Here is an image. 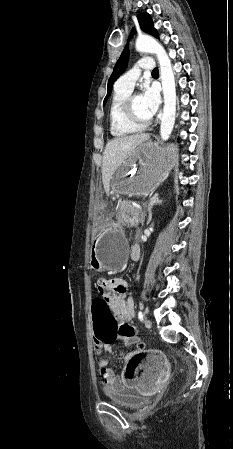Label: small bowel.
Returning <instances> with one entry per match:
<instances>
[{
  "mask_svg": "<svg viewBox=\"0 0 233 449\" xmlns=\"http://www.w3.org/2000/svg\"><path fill=\"white\" fill-rule=\"evenodd\" d=\"M131 253V259H135ZM97 294L101 301H108L109 310L116 321L119 330L117 342L126 346L140 343L137 328L130 322L134 318V299L126 295L127 283L114 274H99L96 280ZM98 301V300H97ZM93 334V349L99 367L101 381L106 387H118L121 384H134V390H142L144 394H153L159 390L163 378L170 372V363H165L166 356L162 347H147L144 368H139L138 375H126V378L116 374L107 367L105 352L110 351L114 343H108L106 349H99Z\"/></svg>",
  "mask_w": 233,
  "mask_h": 449,
  "instance_id": "c3829d8e",
  "label": "small bowel"
}]
</instances>
